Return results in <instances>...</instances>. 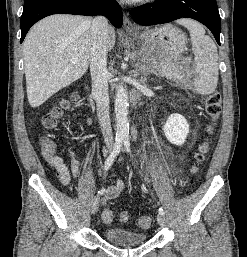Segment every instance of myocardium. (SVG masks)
Returning <instances> with one entry per match:
<instances>
[{"mask_svg": "<svg viewBox=\"0 0 247 257\" xmlns=\"http://www.w3.org/2000/svg\"><path fill=\"white\" fill-rule=\"evenodd\" d=\"M151 1H153V0H138V2H140V3H149Z\"/></svg>", "mask_w": 247, "mask_h": 257, "instance_id": "obj_1", "label": "myocardium"}]
</instances>
